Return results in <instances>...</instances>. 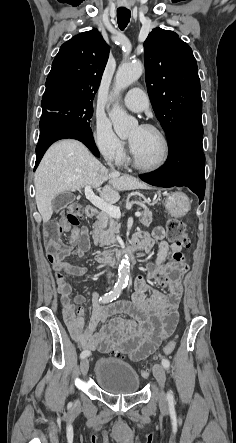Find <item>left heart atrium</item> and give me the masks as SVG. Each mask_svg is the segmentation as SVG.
I'll use <instances>...</instances> for the list:
<instances>
[{
  "label": "left heart atrium",
  "mask_w": 236,
  "mask_h": 443,
  "mask_svg": "<svg viewBox=\"0 0 236 443\" xmlns=\"http://www.w3.org/2000/svg\"><path fill=\"white\" fill-rule=\"evenodd\" d=\"M131 148H133V144L131 143Z\"/></svg>",
  "instance_id": "1"
}]
</instances>
